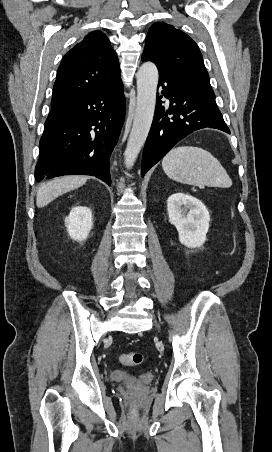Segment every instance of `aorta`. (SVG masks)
I'll list each match as a JSON object with an SVG mask.
<instances>
[{
    "label": "aorta",
    "instance_id": "aorta-1",
    "mask_svg": "<svg viewBox=\"0 0 272 452\" xmlns=\"http://www.w3.org/2000/svg\"><path fill=\"white\" fill-rule=\"evenodd\" d=\"M137 106L125 150V165L130 169L148 136L156 105L158 69L153 62H144L137 72Z\"/></svg>",
    "mask_w": 272,
    "mask_h": 452
}]
</instances>
